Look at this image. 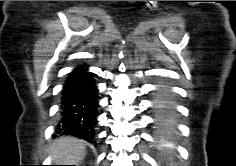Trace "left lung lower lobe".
<instances>
[{"mask_svg": "<svg viewBox=\"0 0 236 166\" xmlns=\"http://www.w3.org/2000/svg\"><path fill=\"white\" fill-rule=\"evenodd\" d=\"M154 111L157 131L162 138L166 139L174 130V103L167 88H161L157 92Z\"/></svg>", "mask_w": 236, "mask_h": 166, "instance_id": "left-lung-lower-lobe-1", "label": "left lung lower lobe"}]
</instances>
